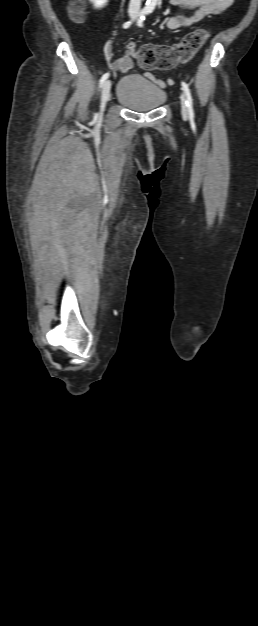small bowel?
Instances as JSON below:
<instances>
[{
  "label": "small bowel",
  "instance_id": "1",
  "mask_svg": "<svg viewBox=\"0 0 258 626\" xmlns=\"http://www.w3.org/2000/svg\"><path fill=\"white\" fill-rule=\"evenodd\" d=\"M233 1L234 0H168L170 5H176L187 9H195V11L190 16L179 14L170 17L166 22V27L171 30L188 28L193 24L202 21L206 17L225 12L231 7ZM105 56L109 62L110 68L113 70L126 72L131 65V58L128 53L118 57L115 56L112 42L107 44L105 48ZM145 76L161 88L174 84L172 79L164 81L149 72L145 73Z\"/></svg>",
  "mask_w": 258,
  "mask_h": 626
}]
</instances>
